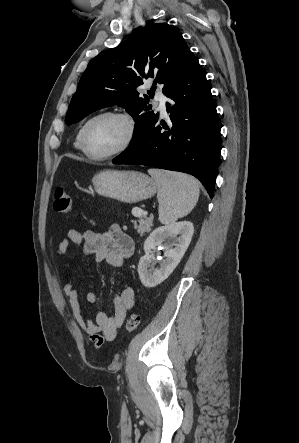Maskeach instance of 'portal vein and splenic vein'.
Wrapping results in <instances>:
<instances>
[{
	"label": "portal vein and splenic vein",
	"mask_w": 299,
	"mask_h": 443,
	"mask_svg": "<svg viewBox=\"0 0 299 443\" xmlns=\"http://www.w3.org/2000/svg\"><path fill=\"white\" fill-rule=\"evenodd\" d=\"M143 214H147V212H142Z\"/></svg>",
	"instance_id": "1"
}]
</instances>
